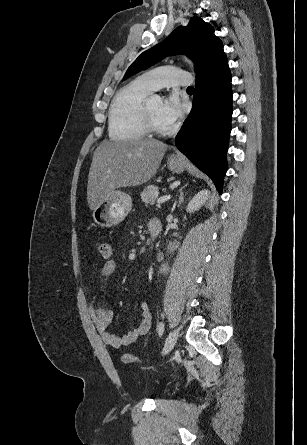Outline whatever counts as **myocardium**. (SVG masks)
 Instances as JSON below:
<instances>
[{"label":"myocardium","mask_w":307,"mask_h":445,"mask_svg":"<svg viewBox=\"0 0 307 445\" xmlns=\"http://www.w3.org/2000/svg\"><path fill=\"white\" fill-rule=\"evenodd\" d=\"M155 95L149 96L142 107V116L144 118L146 127L148 132L152 133V134H171L176 130L175 126H172L168 129H163L160 128L159 126H157V124L155 123L152 113H151V101L153 99ZM149 139H159L158 137H150Z\"/></svg>","instance_id":"1"}]
</instances>
